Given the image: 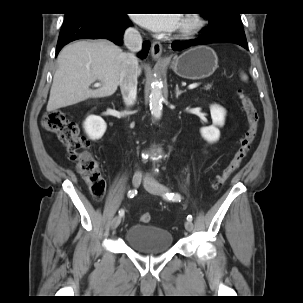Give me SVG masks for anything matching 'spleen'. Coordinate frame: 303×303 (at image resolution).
Wrapping results in <instances>:
<instances>
[{"label":"spleen","mask_w":303,"mask_h":303,"mask_svg":"<svg viewBox=\"0 0 303 303\" xmlns=\"http://www.w3.org/2000/svg\"><path fill=\"white\" fill-rule=\"evenodd\" d=\"M241 78H242V80H244V81H246V80L248 79L247 75H245V74H242V75H241Z\"/></svg>","instance_id":"1"}]
</instances>
